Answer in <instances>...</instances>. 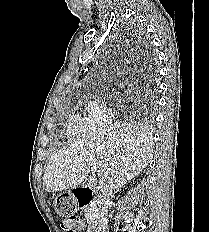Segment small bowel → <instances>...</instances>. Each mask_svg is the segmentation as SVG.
Returning a JSON list of instances; mask_svg holds the SVG:
<instances>
[{"mask_svg":"<svg viewBox=\"0 0 209 232\" xmlns=\"http://www.w3.org/2000/svg\"><path fill=\"white\" fill-rule=\"evenodd\" d=\"M74 227L76 228V229L74 230V232H79V231L82 229V225H81L80 222L77 223V224H75Z\"/></svg>","mask_w":209,"mask_h":232,"instance_id":"c3829d8e","label":"small bowel"}]
</instances>
